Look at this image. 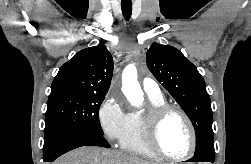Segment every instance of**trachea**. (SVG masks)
Masks as SVG:
<instances>
[{"label":"trachea","instance_id":"3493384b","mask_svg":"<svg viewBox=\"0 0 251 164\" xmlns=\"http://www.w3.org/2000/svg\"><path fill=\"white\" fill-rule=\"evenodd\" d=\"M121 9L123 16L126 20H129L132 14V2H121Z\"/></svg>","mask_w":251,"mask_h":164}]
</instances>
